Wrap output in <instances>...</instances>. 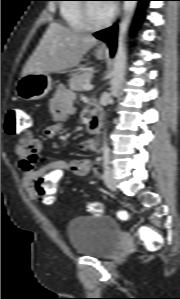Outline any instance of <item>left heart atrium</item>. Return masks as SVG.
<instances>
[{
    "instance_id": "left-heart-atrium-1",
    "label": "left heart atrium",
    "mask_w": 180,
    "mask_h": 299,
    "mask_svg": "<svg viewBox=\"0 0 180 299\" xmlns=\"http://www.w3.org/2000/svg\"><path fill=\"white\" fill-rule=\"evenodd\" d=\"M108 3L104 4L106 10L108 11L109 14H111L114 11L115 4L112 3L113 1H107Z\"/></svg>"
}]
</instances>
